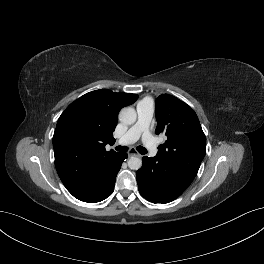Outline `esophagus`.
<instances>
[{
  "mask_svg": "<svg viewBox=\"0 0 264 264\" xmlns=\"http://www.w3.org/2000/svg\"><path fill=\"white\" fill-rule=\"evenodd\" d=\"M127 154H128L129 157H131V156H140V154L135 149H130Z\"/></svg>",
  "mask_w": 264,
  "mask_h": 264,
  "instance_id": "34e87169",
  "label": "esophagus"
}]
</instances>
